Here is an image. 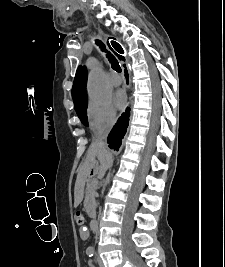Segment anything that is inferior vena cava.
Masks as SVG:
<instances>
[{
	"label": "inferior vena cava",
	"instance_id": "inferior-vena-cava-1",
	"mask_svg": "<svg viewBox=\"0 0 225 267\" xmlns=\"http://www.w3.org/2000/svg\"><path fill=\"white\" fill-rule=\"evenodd\" d=\"M114 122L111 121L109 122L98 134V137L96 139V143L103 149L107 150V145H106V140H107V136L113 126Z\"/></svg>",
	"mask_w": 225,
	"mask_h": 267
}]
</instances>
